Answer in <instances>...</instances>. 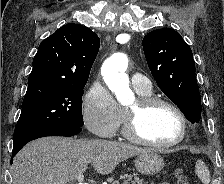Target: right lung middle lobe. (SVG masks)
I'll return each mask as SVG.
<instances>
[{
	"instance_id": "obj_1",
	"label": "right lung middle lobe",
	"mask_w": 224,
	"mask_h": 184,
	"mask_svg": "<svg viewBox=\"0 0 224 184\" xmlns=\"http://www.w3.org/2000/svg\"><path fill=\"white\" fill-rule=\"evenodd\" d=\"M85 84L28 85L21 115L14 130V140L39 128L83 126L82 96Z\"/></svg>"
}]
</instances>
